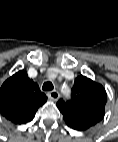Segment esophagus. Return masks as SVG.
Instances as JSON below:
<instances>
[{"label": "esophagus", "instance_id": "esophagus-1", "mask_svg": "<svg viewBox=\"0 0 118 142\" xmlns=\"http://www.w3.org/2000/svg\"><path fill=\"white\" fill-rule=\"evenodd\" d=\"M47 95H48L49 99L54 100V101L58 100V98L60 96L59 92L57 90H52V91L48 92Z\"/></svg>", "mask_w": 118, "mask_h": 142}]
</instances>
